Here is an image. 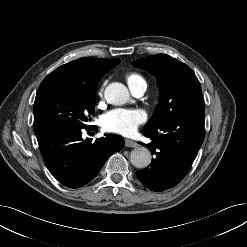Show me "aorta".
<instances>
[{
	"label": "aorta",
	"mask_w": 247,
	"mask_h": 247,
	"mask_svg": "<svg viewBox=\"0 0 247 247\" xmlns=\"http://www.w3.org/2000/svg\"><path fill=\"white\" fill-rule=\"evenodd\" d=\"M104 95L107 102L112 105H123L130 98L127 87L118 82L109 84L105 89ZM130 162L136 168H146L151 162V153L146 147H137L130 153Z\"/></svg>",
	"instance_id": "aorta-1"
}]
</instances>
